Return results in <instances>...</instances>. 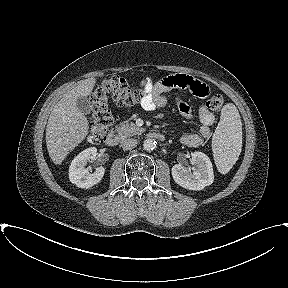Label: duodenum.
<instances>
[{
	"label": "duodenum",
	"mask_w": 288,
	"mask_h": 288,
	"mask_svg": "<svg viewBox=\"0 0 288 288\" xmlns=\"http://www.w3.org/2000/svg\"><path fill=\"white\" fill-rule=\"evenodd\" d=\"M148 137L154 140L163 141L165 136L160 132H151L148 134ZM121 141V137L115 131H111L106 139V144L110 147L117 146Z\"/></svg>",
	"instance_id": "obj_1"
}]
</instances>
